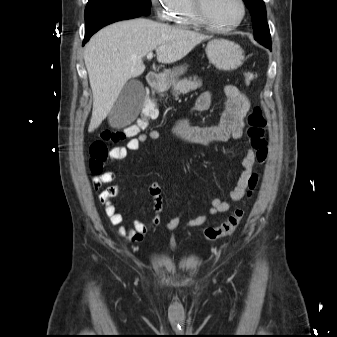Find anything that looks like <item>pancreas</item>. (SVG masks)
I'll return each mask as SVG.
<instances>
[{
  "instance_id": "cf45deb5",
  "label": "pancreas",
  "mask_w": 337,
  "mask_h": 337,
  "mask_svg": "<svg viewBox=\"0 0 337 337\" xmlns=\"http://www.w3.org/2000/svg\"><path fill=\"white\" fill-rule=\"evenodd\" d=\"M172 86V91L175 96L179 94H186L190 91L196 90L197 88L202 86V82L200 80H197V77H194L193 80L191 78L189 79H182L179 81H172L170 84ZM168 88L165 87L164 89H160L159 93H161V96L163 95L162 93L166 91Z\"/></svg>"
}]
</instances>
